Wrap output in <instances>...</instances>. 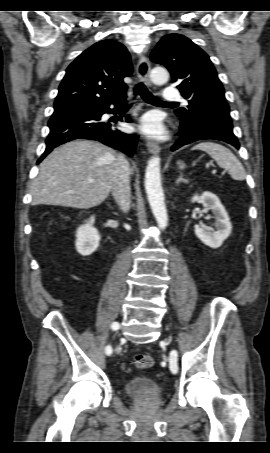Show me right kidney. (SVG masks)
I'll use <instances>...</instances> for the list:
<instances>
[{
    "label": "right kidney",
    "instance_id": "1",
    "mask_svg": "<svg viewBox=\"0 0 270 453\" xmlns=\"http://www.w3.org/2000/svg\"><path fill=\"white\" fill-rule=\"evenodd\" d=\"M95 218L91 216L84 225L76 231V250L82 256L92 254L99 246L100 234L93 227Z\"/></svg>",
    "mask_w": 270,
    "mask_h": 453
}]
</instances>
